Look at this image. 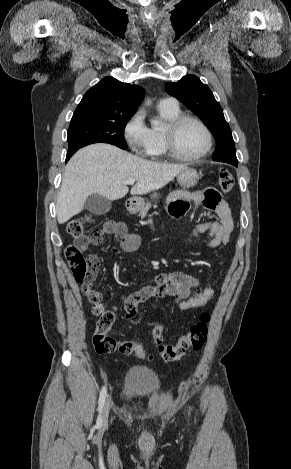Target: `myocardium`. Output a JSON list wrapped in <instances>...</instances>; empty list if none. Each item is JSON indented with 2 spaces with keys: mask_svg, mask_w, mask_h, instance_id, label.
Segmentation results:
<instances>
[{
  "mask_svg": "<svg viewBox=\"0 0 291 469\" xmlns=\"http://www.w3.org/2000/svg\"><path fill=\"white\" fill-rule=\"evenodd\" d=\"M194 122L200 128L203 130L206 136V145L203 151L198 154L197 156L194 157H185L182 156L176 148V134L178 129L185 123V122ZM163 139H164V145L166 148V152L169 157H171L174 160L180 161V162H185V163H194L202 160L205 158L208 153L210 152L212 145H213V135L212 132L210 131L209 127L198 117L193 116V115H188V114H181L174 118L173 120L169 121L165 128L163 129Z\"/></svg>",
  "mask_w": 291,
  "mask_h": 469,
  "instance_id": "obj_1",
  "label": "myocardium"
}]
</instances>
